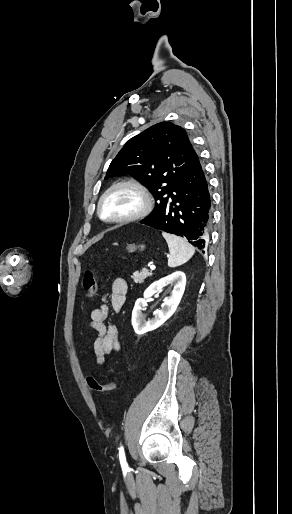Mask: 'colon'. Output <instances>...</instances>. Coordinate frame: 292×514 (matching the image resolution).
<instances>
[{
    "label": "colon",
    "instance_id": "colon-1",
    "mask_svg": "<svg viewBox=\"0 0 292 514\" xmlns=\"http://www.w3.org/2000/svg\"><path fill=\"white\" fill-rule=\"evenodd\" d=\"M83 289L85 292V296L88 299H91L95 297L98 285H97V278L93 270H87L85 272L84 278H83ZM85 380L88 382V385H90L95 391L101 392V391H111L116 388L117 381L113 380L109 383H104L103 385L97 382L94 379V375L92 373H87L85 375Z\"/></svg>",
    "mask_w": 292,
    "mask_h": 514
}]
</instances>
